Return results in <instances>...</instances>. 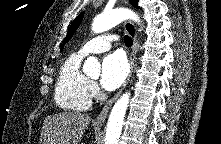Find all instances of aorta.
Segmentation results:
<instances>
[{"label": "aorta", "mask_w": 221, "mask_h": 144, "mask_svg": "<svg viewBox=\"0 0 221 144\" xmlns=\"http://www.w3.org/2000/svg\"><path fill=\"white\" fill-rule=\"evenodd\" d=\"M126 19H132L138 23L140 22L139 17L134 12L125 8L105 11L94 18L92 22V31L94 33L105 32ZM83 71L89 76H99L100 63L98 59L93 56L88 57L84 63ZM129 97V92L124 93L113 106L107 123L105 144H118L129 103Z\"/></svg>", "instance_id": "obj_1"}]
</instances>
